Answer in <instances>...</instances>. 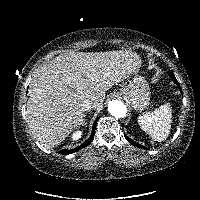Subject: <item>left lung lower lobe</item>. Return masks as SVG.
Segmentation results:
<instances>
[{"instance_id": "1", "label": "left lung lower lobe", "mask_w": 200, "mask_h": 200, "mask_svg": "<svg viewBox=\"0 0 200 200\" xmlns=\"http://www.w3.org/2000/svg\"><path fill=\"white\" fill-rule=\"evenodd\" d=\"M168 74H169V76L174 80V82H175L177 85H179V83H178L177 79L175 78L174 74H173V73H170V72H169ZM125 138H126L132 145H134V146H136V147H140V148H144V149H145V147H144L143 145H140V144L134 142V141H133L132 139H130L128 136L125 135Z\"/></svg>"}]
</instances>
